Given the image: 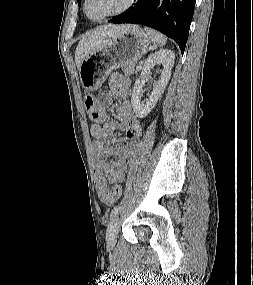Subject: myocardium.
<instances>
[{"mask_svg": "<svg viewBox=\"0 0 253 285\" xmlns=\"http://www.w3.org/2000/svg\"><path fill=\"white\" fill-rule=\"evenodd\" d=\"M135 1L136 0H127L126 4L121 9H119V10H117L115 12H112L110 14L104 15L102 17H99V18H92L87 13V2H88V0H84L83 1V12H84L85 16L90 21L101 22V21H104V20H107V19H110V18H113L115 16H118V15H121V14L125 13L126 11H128L134 5Z\"/></svg>", "mask_w": 253, "mask_h": 285, "instance_id": "myocardium-1", "label": "myocardium"}]
</instances>
